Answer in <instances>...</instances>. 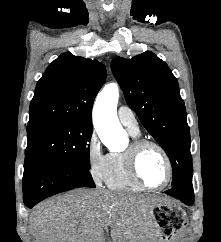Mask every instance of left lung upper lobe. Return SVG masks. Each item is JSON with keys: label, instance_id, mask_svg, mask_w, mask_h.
Returning <instances> with one entry per match:
<instances>
[{"label": "left lung upper lobe", "instance_id": "obj_1", "mask_svg": "<svg viewBox=\"0 0 221 242\" xmlns=\"http://www.w3.org/2000/svg\"><path fill=\"white\" fill-rule=\"evenodd\" d=\"M111 68L127 104L168 155L172 187L191 182L190 131L172 71L150 51L131 59L116 57Z\"/></svg>", "mask_w": 221, "mask_h": 242}]
</instances>
